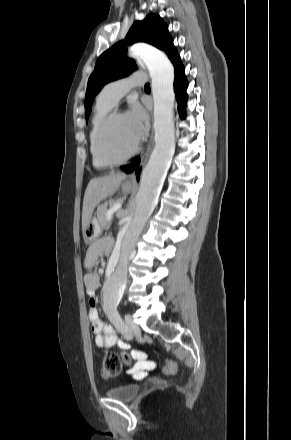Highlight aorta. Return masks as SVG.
I'll return each mask as SVG.
<instances>
[{
  "mask_svg": "<svg viewBox=\"0 0 291 440\" xmlns=\"http://www.w3.org/2000/svg\"><path fill=\"white\" fill-rule=\"evenodd\" d=\"M128 55L142 60L152 79L155 147L142 172L135 210L117 240L114 264L103 287L104 301L113 304H117L123 296L128 256L156 206L175 151L174 67L164 53L145 44L132 46Z\"/></svg>",
  "mask_w": 291,
  "mask_h": 440,
  "instance_id": "obj_1",
  "label": "aorta"
}]
</instances>
